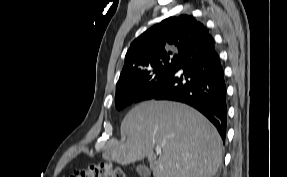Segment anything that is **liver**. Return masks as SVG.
<instances>
[{
	"instance_id": "liver-1",
	"label": "liver",
	"mask_w": 287,
	"mask_h": 177,
	"mask_svg": "<svg viewBox=\"0 0 287 177\" xmlns=\"http://www.w3.org/2000/svg\"><path fill=\"white\" fill-rule=\"evenodd\" d=\"M121 134L125 141L110 145L103 158L127 165L147 157L154 177H213L222 162L216 128L185 104L140 103L123 119Z\"/></svg>"
}]
</instances>
